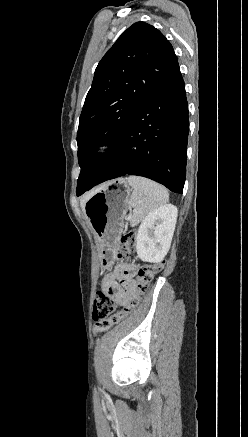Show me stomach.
Returning a JSON list of instances; mask_svg holds the SVG:
<instances>
[{
	"instance_id": "0dacf381",
	"label": "stomach",
	"mask_w": 248,
	"mask_h": 437,
	"mask_svg": "<svg viewBox=\"0 0 248 437\" xmlns=\"http://www.w3.org/2000/svg\"><path fill=\"white\" fill-rule=\"evenodd\" d=\"M123 182L121 179L102 187L84 203V213L95 234L103 267L111 264L113 250L129 210L130 190L120 188Z\"/></svg>"
}]
</instances>
